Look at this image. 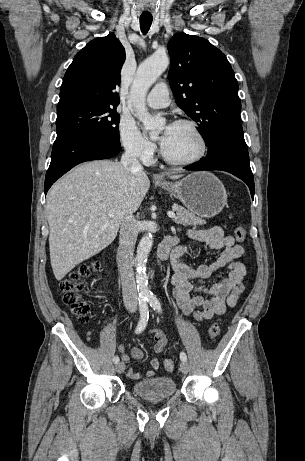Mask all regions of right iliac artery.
I'll list each match as a JSON object with an SVG mask.
<instances>
[{"instance_id": "obj_1", "label": "right iliac artery", "mask_w": 305, "mask_h": 461, "mask_svg": "<svg viewBox=\"0 0 305 461\" xmlns=\"http://www.w3.org/2000/svg\"><path fill=\"white\" fill-rule=\"evenodd\" d=\"M139 311H140V320L138 322V325L136 327V333H141L146 325H147V322H148V318H149V309H148V305H147V298L146 297H140L139 298ZM120 361L119 357L118 356H115L113 358V362L115 364H117L118 362Z\"/></svg>"}]
</instances>
